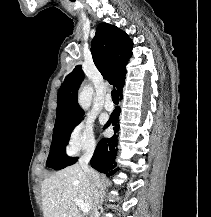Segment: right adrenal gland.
<instances>
[{"mask_svg": "<svg viewBox=\"0 0 211 217\" xmlns=\"http://www.w3.org/2000/svg\"><path fill=\"white\" fill-rule=\"evenodd\" d=\"M105 194H106L105 190L102 189V190H101V196H100V198H101V199H100V203L103 202V198H104Z\"/></svg>", "mask_w": 211, "mask_h": 217, "instance_id": "1", "label": "right adrenal gland"}]
</instances>
